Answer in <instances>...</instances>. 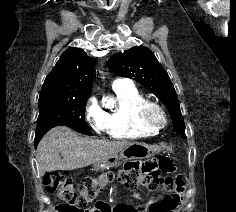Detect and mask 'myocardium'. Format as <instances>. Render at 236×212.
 <instances>
[{
	"instance_id": "f54148a6",
	"label": "myocardium",
	"mask_w": 236,
	"mask_h": 212,
	"mask_svg": "<svg viewBox=\"0 0 236 212\" xmlns=\"http://www.w3.org/2000/svg\"><path fill=\"white\" fill-rule=\"evenodd\" d=\"M140 120L144 125L158 131L167 125L168 115L161 104L147 101L140 110Z\"/></svg>"
}]
</instances>
